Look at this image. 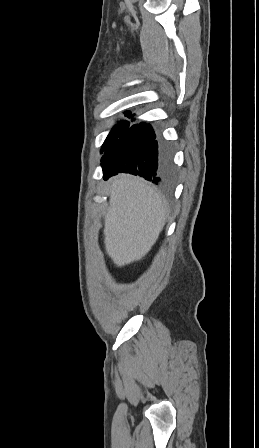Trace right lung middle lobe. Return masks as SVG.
<instances>
[{
	"label": "right lung middle lobe",
	"instance_id": "obj_1",
	"mask_svg": "<svg viewBox=\"0 0 259 448\" xmlns=\"http://www.w3.org/2000/svg\"><path fill=\"white\" fill-rule=\"evenodd\" d=\"M131 114H126L127 117L130 118ZM131 121H135V119H131ZM130 127L129 121H121L119 124L115 125L111 132L108 134L104 144L101 147V153L106 151V149L116 141L128 128Z\"/></svg>",
	"mask_w": 259,
	"mask_h": 448
}]
</instances>
